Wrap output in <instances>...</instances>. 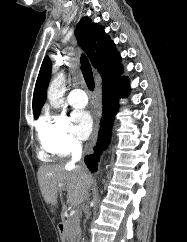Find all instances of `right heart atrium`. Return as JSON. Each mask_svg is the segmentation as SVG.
Instances as JSON below:
<instances>
[{"mask_svg":"<svg viewBox=\"0 0 187 242\" xmlns=\"http://www.w3.org/2000/svg\"><path fill=\"white\" fill-rule=\"evenodd\" d=\"M42 143L53 153L67 156L81 147L72 131L70 119L65 115L46 113L39 125Z\"/></svg>","mask_w":187,"mask_h":242,"instance_id":"obj_1","label":"right heart atrium"}]
</instances>
